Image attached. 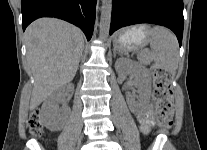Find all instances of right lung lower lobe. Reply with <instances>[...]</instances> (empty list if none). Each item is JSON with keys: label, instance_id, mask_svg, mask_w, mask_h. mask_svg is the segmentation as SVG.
Wrapping results in <instances>:
<instances>
[{"label": "right lung lower lobe", "instance_id": "obj_1", "mask_svg": "<svg viewBox=\"0 0 207 150\" xmlns=\"http://www.w3.org/2000/svg\"><path fill=\"white\" fill-rule=\"evenodd\" d=\"M96 2L97 0H22L23 30L35 19L55 17L78 26L90 40Z\"/></svg>", "mask_w": 207, "mask_h": 150}]
</instances>
